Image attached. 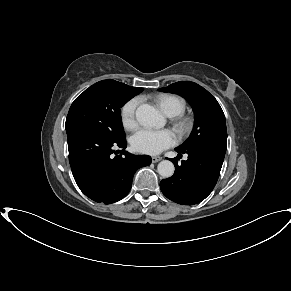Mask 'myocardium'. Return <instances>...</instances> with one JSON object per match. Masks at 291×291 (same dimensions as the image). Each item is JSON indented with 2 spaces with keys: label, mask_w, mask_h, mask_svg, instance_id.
Returning a JSON list of instances; mask_svg holds the SVG:
<instances>
[{
  "label": "myocardium",
  "mask_w": 291,
  "mask_h": 291,
  "mask_svg": "<svg viewBox=\"0 0 291 291\" xmlns=\"http://www.w3.org/2000/svg\"><path fill=\"white\" fill-rule=\"evenodd\" d=\"M173 125L180 137L188 136L194 128V120L192 117L178 115L173 119Z\"/></svg>",
  "instance_id": "myocardium-1"
}]
</instances>
